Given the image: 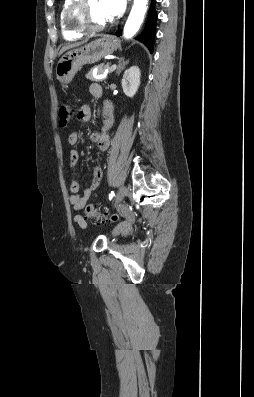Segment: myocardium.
Wrapping results in <instances>:
<instances>
[{
  "instance_id": "myocardium-1",
  "label": "myocardium",
  "mask_w": 254,
  "mask_h": 397,
  "mask_svg": "<svg viewBox=\"0 0 254 397\" xmlns=\"http://www.w3.org/2000/svg\"><path fill=\"white\" fill-rule=\"evenodd\" d=\"M89 0H74L68 7L65 14L67 26L76 32L95 33L109 27L110 23L103 25H92L87 17V7Z\"/></svg>"
}]
</instances>
